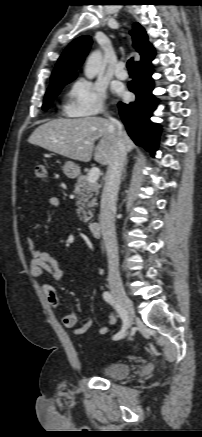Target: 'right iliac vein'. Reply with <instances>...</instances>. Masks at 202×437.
Returning <instances> with one entry per match:
<instances>
[{
    "label": "right iliac vein",
    "mask_w": 202,
    "mask_h": 437,
    "mask_svg": "<svg viewBox=\"0 0 202 437\" xmlns=\"http://www.w3.org/2000/svg\"><path fill=\"white\" fill-rule=\"evenodd\" d=\"M111 290L119 304L125 309L127 314V328H129L134 320L135 311L131 299L126 294L124 288L119 284H111Z\"/></svg>",
    "instance_id": "obj_1"
}]
</instances>
